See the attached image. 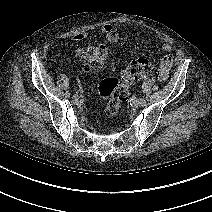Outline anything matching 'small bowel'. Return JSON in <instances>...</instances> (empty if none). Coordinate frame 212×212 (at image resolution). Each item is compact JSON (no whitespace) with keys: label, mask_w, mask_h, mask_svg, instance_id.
I'll list each match as a JSON object with an SVG mask.
<instances>
[{"label":"small bowel","mask_w":212,"mask_h":212,"mask_svg":"<svg viewBox=\"0 0 212 212\" xmlns=\"http://www.w3.org/2000/svg\"><path fill=\"white\" fill-rule=\"evenodd\" d=\"M119 28L120 24L117 23H107L100 26L99 30L102 34L105 35L106 39L113 43L116 42L119 39ZM88 36V33L82 32V33H76L73 35L72 40L74 42H81L85 40ZM160 47L162 50L166 52V55L162 58L160 62V80H165L168 77L169 71L173 64V56L170 53L171 52V45L168 42H161ZM83 53L82 48H77L73 51H71V54L74 56H80Z\"/></svg>","instance_id":"obj_1"}]
</instances>
